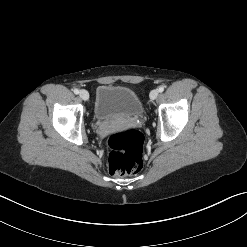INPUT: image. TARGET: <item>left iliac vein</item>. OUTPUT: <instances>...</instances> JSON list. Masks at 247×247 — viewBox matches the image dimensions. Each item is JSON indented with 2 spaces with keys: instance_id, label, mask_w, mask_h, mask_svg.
<instances>
[{
  "instance_id": "1",
  "label": "left iliac vein",
  "mask_w": 247,
  "mask_h": 247,
  "mask_svg": "<svg viewBox=\"0 0 247 247\" xmlns=\"http://www.w3.org/2000/svg\"><path fill=\"white\" fill-rule=\"evenodd\" d=\"M158 96V90L157 89H154L150 92V99L151 100H155Z\"/></svg>"
}]
</instances>
